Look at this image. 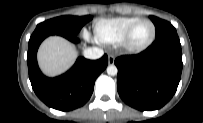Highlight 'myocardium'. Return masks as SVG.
<instances>
[{
    "label": "myocardium",
    "instance_id": "1",
    "mask_svg": "<svg viewBox=\"0 0 203 123\" xmlns=\"http://www.w3.org/2000/svg\"><path fill=\"white\" fill-rule=\"evenodd\" d=\"M142 22H148L151 24L153 32H152V36L151 38L143 45L140 46H134L130 43V38L131 35L134 31V29L137 27V25H139ZM156 26L154 24V22L148 18H140L137 21H135L134 23H132L127 30L124 32L122 38L119 41L120 46L127 52L130 53H138L141 51H144L145 49H147L155 40L156 37Z\"/></svg>",
    "mask_w": 203,
    "mask_h": 123
}]
</instances>
